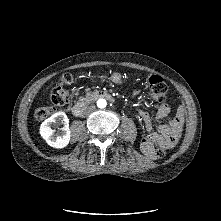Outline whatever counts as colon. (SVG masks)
Here are the masks:
<instances>
[{"instance_id": "1", "label": "colon", "mask_w": 221, "mask_h": 221, "mask_svg": "<svg viewBox=\"0 0 221 221\" xmlns=\"http://www.w3.org/2000/svg\"><path fill=\"white\" fill-rule=\"evenodd\" d=\"M72 82L70 74H64L59 85L53 89L50 95L51 106L41 107L36 109L35 118L37 120H44L52 116L56 111L64 107L69 102V92L66 89ZM146 87L150 96L156 104L160 103L167 93L168 87L164 79L158 75H152L147 79ZM169 148V141L165 140L158 146L153 148L152 156L161 158L166 154V149Z\"/></svg>"}]
</instances>
